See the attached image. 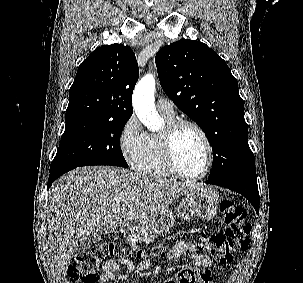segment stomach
Returning <instances> with one entry per match:
<instances>
[{
    "label": "stomach",
    "instance_id": "0dacf381",
    "mask_svg": "<svg viewBox=\"0 0 303 283\" xmlns=\"http://www.w3.org/2000/svg\"><path fill=\"white\" fill-rule=\"evenodd\" d=\"M219 203L220 198L213 190L199 187L188 192L175 211L168 208L162 213L140 220L137 229L156 236L171 228L176 217L183 220H191L195 216L211 219L217 214Z\"/></svg>",
    "mask_w": 303,
    "mask_h": 283
}]
</instances>
